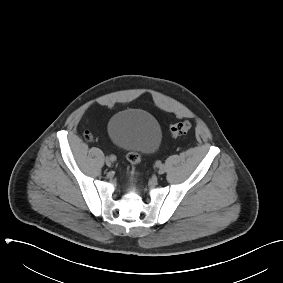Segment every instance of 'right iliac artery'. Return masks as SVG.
I'll return each instance as SVG.
<instances>
[{
	"label": "right iliac artery",
	"mask_w": 283,
	"mask_h": 283,
	"mask_svg": "<svg viewBox=\"0 0 283 283\" xmlns=\"http://www.w3.org/2000/svg\"><path fill=\"white\" fill-rule=\"evenodd\" d=\"M109 158H110L112 161H115V160H116V156H115V155H111Z\"/></svg>",
	"instance_id": "82829eb1"
}]
</instances>
